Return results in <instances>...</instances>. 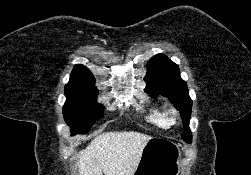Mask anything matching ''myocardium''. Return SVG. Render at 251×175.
<instances>
[{"label":"myocardium","mask_w":251,"mask_h":175,"mask_svg":"<svg viewBox=\"0 0 251 175\" xmlns=\"http://www.w3.org/2000/svg\"><path fill=\"white\" fill-rule=\"evenodd\" d=\"M167 115H168L169 121L172 124H174L176 122L178 116H179V113H178V111L175 108H171V109H169Z\"/></svg>","instance_id":"obj_1"}]
</instances>
